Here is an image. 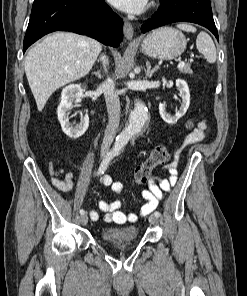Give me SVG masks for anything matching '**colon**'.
Wrapping results in <instances>:
<instances>
[{
	"mask_svg": "<svg viewBox=\"0 0 247 296\" xmlns=\"http://www.w3.org/2000/svg\"><path fill=\"white\" fill-rule=\"evenodd\" d=\"M190 124H188V127ZM170 157L169 147L166 145H158L151 152L150 156L137 168L134 172V182L136 184H144L154 168L166 163Z\"/></svg>",
	"mask_w": 247,
	"mask_h": 296,
	"instance_id": "5ec220e1",
	"label": "colon"
}]
</instances>
